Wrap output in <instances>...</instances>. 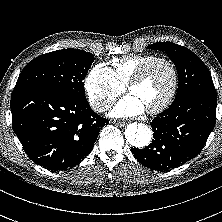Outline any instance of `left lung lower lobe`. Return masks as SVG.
Segmentation results:
<instances>
[{"label": "left lung lower lobe", "mask_w": 222, "mask_h": 222, "mask_svg": "<svg viewBox=\"0 0 222 222\" xmlns=\"http://www.w3.org/2000/svg\"><path fill=\"white\" fill-rule=\"evenodd\" d=\"M217 97L195 94L174 101L150 123L153 140L144 149L132 148L147 168L168 171L196 157L216 122Z\"/></svg>", "instance_id": "1"}]
</instances>
